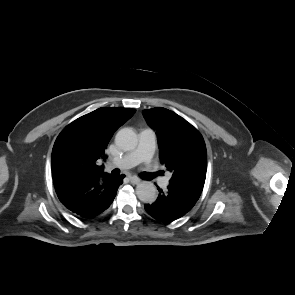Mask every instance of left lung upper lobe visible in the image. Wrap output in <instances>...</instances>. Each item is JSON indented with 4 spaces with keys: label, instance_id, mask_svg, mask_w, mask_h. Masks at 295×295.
<instances>
[{
    "label": "left lung upper lobe",
    "instance_id": "1",
    "mask_svg": "<svg viewBox=\"0 0 295 295\" xmlns=\"http://www.w3.org/2000/svg\"><path fill=\"white\" fill-rule=\"evenodd\" d=\"M157 135L160 161L172 173L169 185L201 193L207 171V151L200 132L184 118L157 107L142 111Z\"/></svg>",
    "mask_w": 295,
    "mask_h": 295
}]
</instances>
